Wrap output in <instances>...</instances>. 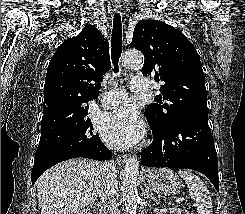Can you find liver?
<instances>
[{
  "mask_svg": "<svg viewBox=\"0 0 245 214\" xmlns=\"http://www.w3.org/2000/svg\"><path fill=\"white\" fill-rule=\"evenodd\" d=\"M103 163L73 159L45 171L37 181L41 214H75L95 201Z\"/></svg>",
  "mask_w": 245,
  "mask_h": 214,
  "instance_id": "liver-1",
  "label": "liver"
}]
</instances>
